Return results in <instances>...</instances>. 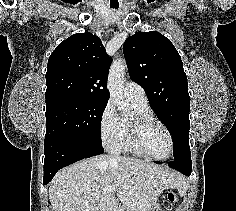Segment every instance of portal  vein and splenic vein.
<instances>
[{
  "instance_id": "portal-vein-and-splenic-vein-1",
  "label": "portal vein and splenic vein",
  "mask_w": 236,
  "mask_h": 211,
  "mask_svg": "<svg viewBox=\"0 0 236 211\" xmlns=\"http://www.w3.org/2000/svg\"><path fill=\"white\" fill-rule=\"evenodd\" d=\"M117 188H118L117 186H110V187L104 189V193L112 192V191L116 190Z\"/></svg>"
}]
</instances>
